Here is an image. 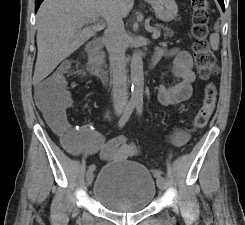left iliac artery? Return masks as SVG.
<instances>
[{
	"label": "left iliac artery",
	"instance_id": "1",
	"mask_svg": "<svg viewBox=\"0 0 245 225\" xmlns=\"http://www.w3.org/2000/svg\"><path fill=\"white\" fill-rule=\"evenodd\" d=\"M136 109H137V113L139 115H142V111H143V102L142 101H138L136 103ZM154 175H155V177L157 179H159L162 176V171L161 170H157V171H155Z\"/></svg>",
	"mask_w": 245,
	"mask_h": 225
}]
</instances>
